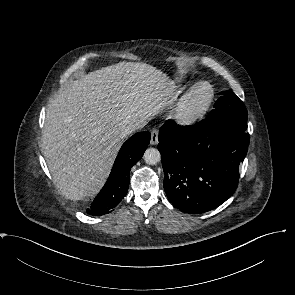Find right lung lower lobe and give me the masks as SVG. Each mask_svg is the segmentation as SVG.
I'll return each instance as SVG.
<instances>
[{
	"label": "right lung lower lobe",
	"mask_w": 295,
	"mask_h": 295,
	"mask_svg": "<svg viewBox=\"0 0 295 295\" xmlns=\"http://www.w3.org/2000/svg\"><path fill=\"white\" fill-rule=\"evenodd\" d=\"M150 133L139 132L129 138L121 147L109 178L92 202L87 213L93 216L107 214L125 197L129 186V172L143 156L150 142Z\"/></svg>",
	"instance_id": "right-lung-lower-lobe-1"
}]
</instances>
